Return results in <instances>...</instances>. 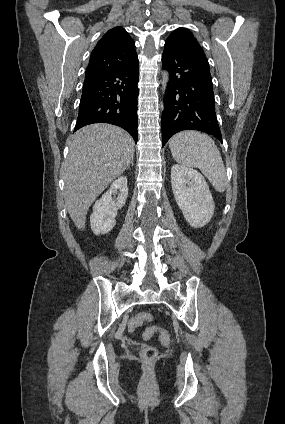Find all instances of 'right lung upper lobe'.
Listing matches in <instances>:
<instances>
[{
  "label": "right lung upper lobe",
  "mask_w": 285,
  "mask_h": 424,
  "mask_svg": "<svg viewBox=\"0 0 285 424\" xmlns=\"http://www.w3.org/2000/svg\"><path fill=\"white\" fill-rule=\"evenodd\" d=\"M138 60L135 43L122 27L107 31L93 49L85 78L106 74Z\"/></svg>",
  "instance_id": "obj_1"
}]
</instances>
